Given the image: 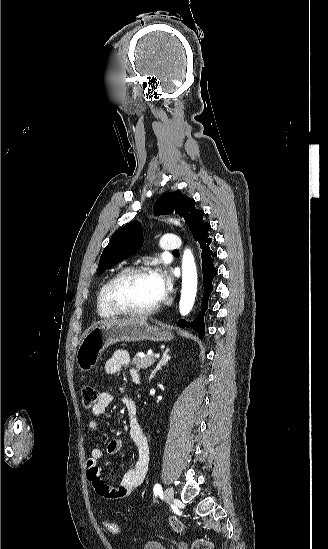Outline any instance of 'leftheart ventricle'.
Instances as JSON below:
<instances>
[{
    "mask_svg": "<svg viewBox=\"0 0 328 549\" xmlns=\"http://www.w3.org/2000/svg\"><path fill=\"white\" fill-rule=\"evenodd\" d=\"M150 268L154 272L162 270L161 266H152ZM154 272L136 274L120 283L115 290V298L123 304L115 306L118 308L143 309L151 307L159 301L161 298L156 287Z\"/></svg>",
    "mask_w": 328,
    "mask_h": 549,
    "instance_id": "1",
    "label": "left heart ventricle"
}]
</instances>
